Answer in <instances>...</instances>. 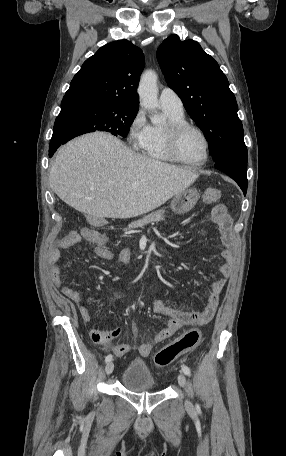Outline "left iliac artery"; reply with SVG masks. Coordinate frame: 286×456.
Returning <instances> with one entry per match:
<instances>
[{"mask_svg": "<svg viewBox=\"0 0 286 456\" xmlns=\"http://www.w3.org/2000/svg\"><path fill=\"white\" fill-rule=\"evenodd\" d=\"M182 371H183V373H184L185 375L191 376V370H190L189 367L183 365V366H182Z\"/></svg>", "mask_w": 286, "mask_h": 456, "instance_id": "obj_1", "label": "left iliac artery"}]
</instances>
